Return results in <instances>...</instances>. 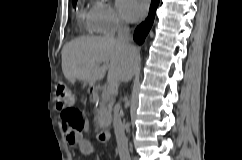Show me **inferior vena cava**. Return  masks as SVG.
Here are the masks:
<instances>
[{"label":"inferior vena cava","instance_id":"inferior-vena-cava-1","mask_svg":"<svg viewBox=\"0 0 242 160\" xmlns=\"http://www.w3.org/2000/svg\"><path fill=\"white\" fill-rule=\"evenodd\" d=\"M116 41L125 50L122 51L121 63H118V81H131L133 73H140V68H136L138 63V47H133L130 41V29L127 25L121 24L118 27ZM121 105L120 102L116 103L113 108V127L116 136L117 149L120 160H131L128 150V140L125 136L124 126L121 120L120 114Z\"/></svg>","mask_w":242,"mask_h":160}]
</instances>
